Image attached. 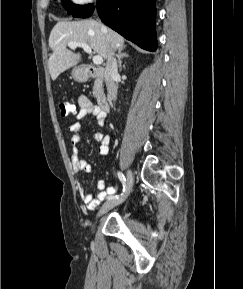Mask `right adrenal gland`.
I'll return each mask as SVG.
<instances>
[{
  "mask_svg": "<svg viewBox=\"0 0 243 289\" xmlns=\"http://www.w3.org/2000/svg\"><path fill=\"white\" fill-rule=\"evenodd\" d=\"M123 50H124V48H119V49H118V55H117V57H118V67H119V71L122 70V59L129 57L128 53L123 52Z\"/></svg>",
  "mask_w": 243,
  "mask_h": 289,
  "instance_id": "obj_1",
  "label": "right adrenal gland"
}]
</instances>
